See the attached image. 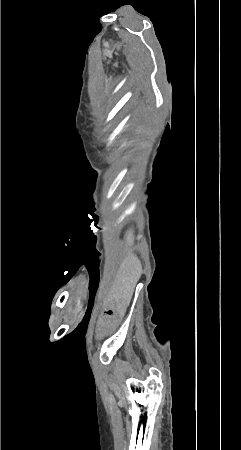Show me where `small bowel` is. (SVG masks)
Here are the masks:
<instances>
[{
  "instance_id": "small-bowel-1",
  "label": "small bowel",
  "mask_w": 241,
  "mask_h": 450,
  "mask_svg": "<svg viewBox=\"0 0 241 450\" xmlns=\"http://www.w3.org/2000/svg\"><path fill=\"white\" fill-rule=\"evenodd\" d=\"M126 303L122 300H105L102 303L101 310H96V319H126L127 312L123 308ZM99 333L101 335H108L111 331L109 329L116 328L118 323L112 320H102L99 322Z\"/></svg>"
}]
</instances>
